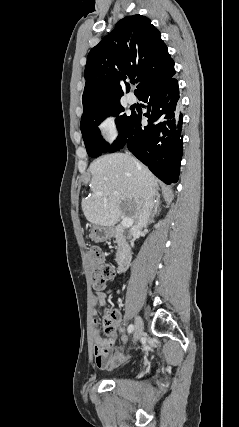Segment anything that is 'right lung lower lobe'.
<instances>
[{"label": "right lung lower lobe", "mask_w": 239, "mask_h": 427, "mask_svg": "<svg viewBox=\"0 0 239 427\" xmlns=\"http://www.w3.org/2000/svg\"><path fill=\"white\" fill-rule=\"evenodd\" d=\"M174 74L139 93L138 99L146 103L148 125L143 126L141 116L133 114L123 145L166 184L177 182L183 150V114Z\"/></svg>", "instance_id": "98d812e1"}]
</instances>
